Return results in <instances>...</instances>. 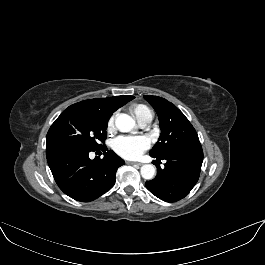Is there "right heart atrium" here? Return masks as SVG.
I'll list each match as a JSON object with an SVG mask.
<instances>
[{
    "mask_svg": "<svg viewBox=\"0 0 265 265\" xmlns=\"http://www.w3.org/2000/svg\"><path fill=\"white\" fill-rule=\"evenodd\" d=\"M115 115H111L107 121V129L112 130L114 128Z\"/></svg>",
    "mask_w": 265,
    "mask_h": 265,
    "instance_id": "d8ad5b80",
    "label": "right heart atrium"
}]
</instances>
